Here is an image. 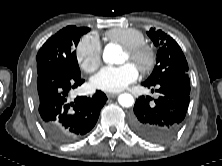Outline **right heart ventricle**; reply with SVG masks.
I'll use <instances>...</instances> for the list:
<instances>
[{"instance_id": "1", "label": "right heart ventricle", "mask_w": 222, "mask_h": 166, "mask_svg": "<svg viewBox=\"0 0 222 166\" xmlns=\"http://www.w3.org/2000/svg\"><path fill=\"white\" fill-rule=\"evenodd\" d=\"M106 38L119 43L124 48L144 44V35L134 28H115L106 33Z\"/></svg>"}]
</instances>
